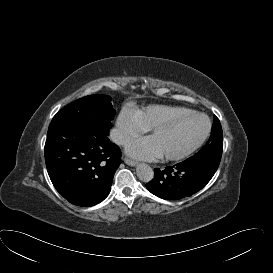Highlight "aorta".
<instances>
[{"label":"aorta","instance_id":"obj_1","mask_svg":"<svg viewBox=\"0 0 273 273\" xmlns=\"http://www.w3.org/2000/svg\"><path fill=\"white\" fill-rule=\"evenodd\" d=\"M136 174L143 181H149L153 177V171L151 167L146 163L137 164Z\"/></svg>","mask_w":273,"mask_h":273}]
</instances>
